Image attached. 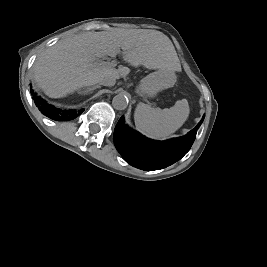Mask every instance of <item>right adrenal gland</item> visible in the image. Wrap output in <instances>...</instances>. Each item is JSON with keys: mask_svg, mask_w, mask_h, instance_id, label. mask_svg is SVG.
<instances>
[{"mask_svg": "<svg viewBox=\"0 0 267 267\" xmlns=\"http://www.w3.org/2000/svg\"><path fill=\"white\" fill-rule=\"evenodd\" d=\"M100 85H94L92 87H87L85 88L84 91H79L80 94H88V93H92L95 89L100 88Z\"/></svg>", "mask_w": 267, "mask_h": 267, "instance_id": "obj_1", "label": "right adrenal gland"}]
</instances>
